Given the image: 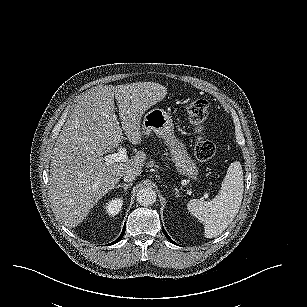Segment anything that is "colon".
<instances>
[{
	"instance_id": "1",
	"label": "colon",
	"mask_w": 307,
	"mask_h": 307,
	"mask_svg": "<svg viewBox=\"0 0 307 307\" xmlns=\"http://www.w3.org/2000/svg\"><path fill=\"white\" fill-rule=\"evenodd\" d=\"M190 123L193 125L198 138L195 143L194 153L198 160H210L216 153L213 140L206 135V121L209 114V104L205 99L195 98L184 106Z\"/></svg>"
}]
</instances>
